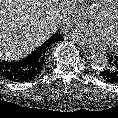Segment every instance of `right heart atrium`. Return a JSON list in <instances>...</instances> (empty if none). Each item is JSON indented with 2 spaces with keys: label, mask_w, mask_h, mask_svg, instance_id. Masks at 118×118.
<instances>
[{
  "label": "right heart atrium",
  "mask_w": 118,
  "mask_h": 118,
  "mask_svg": "<svg viewBox=\"0 0 118 118\" xmlns=\"http://www.w3.org/2000/svg\"><path fill=\"white\" fill-rule=\"evenodd\" d=\"M85 0H64L61 21L66 28L81 23L85 18Z\"/></svg>",
  "instance_id": "1"
}]
</instances>
